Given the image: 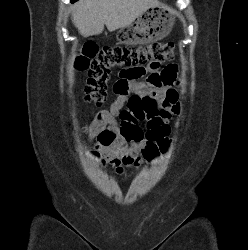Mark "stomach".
Wrapping results in <instances>:
<instances>
[{"mask_svg": "<svg viewBox=\"0 0 248 250\" xmlns=\"http://www.w3.org/2000/svg\"><path fill=\"white\" fill-rule=\"evenodd\" d=\"M173 25L174 16L170 8L163 5L150 7L134 22L122 28L124 43L147 44L160 40L169 34Z\"/></svg>", "mask_w": 248, "mask_h": 250, "instance_id": "stomach-1", "label": "stomach"}]
</instances>
